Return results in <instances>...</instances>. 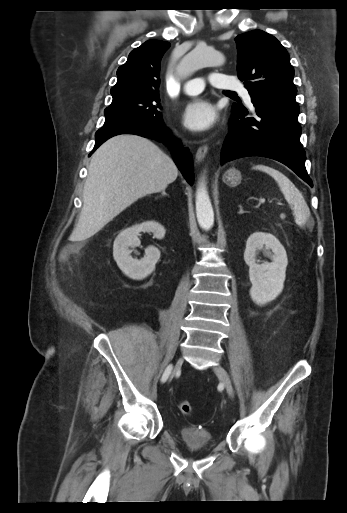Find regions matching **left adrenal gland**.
<instances>
[{
  "mask_svg": "<svg viewBox=\"0 0 347 513\" xmlns=\"http://www.w3.org/2000/svg\"><path fill=\"white\" fill-rule=\"evenodd\" d=\"M245 211L243 210L242 205H239V212L238 214H243Z\"/></svg>",
  "mask_w": 347,
  "mask_h": 513,
  "instance_id": "1",
  "label": "left adrenal gland"
}]
</instances>
